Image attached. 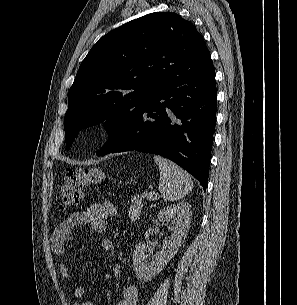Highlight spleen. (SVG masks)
Here are the masks:
<instances>
[{
    "label": "spleen",
    "mask_w": 297,
    "mask_h": 305,
    "mask_svg": "<svg viewBox=\"0 0 297 305\" xmlns=\"http://www.w3.org/2000/svg\"><path fill=\"white\" fill-rule=\"evenodd\" d=\"M154 161L160 171L158 189L165 202L176 201L189 194L193 188V182L188 173L161 156L155 155Z\"/></svg>",
    "instance_id": "spleen-1"
}]
</instances>
